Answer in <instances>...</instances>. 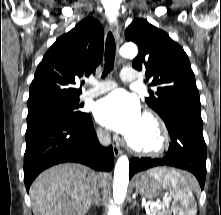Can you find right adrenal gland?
<instances>
[{"label": "right adrenal gland", "mask_w": 221, "mask_h": 215, "mask_svg": "<svg viewBox=\"0 0 221 215\" xmlns=\"http://www.w3.org/2000/svg\"><path fill=\"white\" fill-rule=\"evenodd\" d=\"M99 201H100V195L98 194L97 196H96V198L94 199V201L92 202V204H91V206H100V203H99Z\"/></svg>", "instance_id": "2a0ac1e0"}]
</instances>
